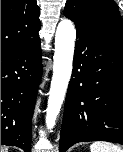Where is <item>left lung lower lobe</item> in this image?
<instances>
[{"mask_svg": "<svg viewBox=\"0 0 123 152\" xmlns=\"http://www.w3.org/2000/svg\"><path fill=\"white\" fill-rule=\"evenodd\" d=\"M70 19L77 41L60 152L85 141L123 144V46Z\"/></svg>", "mask_w": 123, "mask_h": 152, "instance_id": "obj_1", "label": "left lung lower lobe"}]
</instances>
